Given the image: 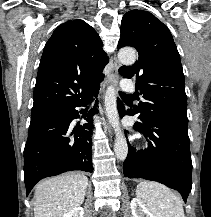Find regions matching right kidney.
I'll return each mask as SVG.
<instances>
[{
  "label": "right kidney",
  "mask_w": 211,
  "mask_h": 217,
  "mask_svg": "<svg viewBox=\"0 0 211 217\" xmlns=\"http://www.w3.org/2000/svg\"><path fill=\"white\" fill-rule=\"evenodd\" d=\"M84 210L82 207L74 208L73 210L66 213L63 217H83Z\"/></svg>",
  "instance_id": "ca27d5eb"
}]
</instances>
